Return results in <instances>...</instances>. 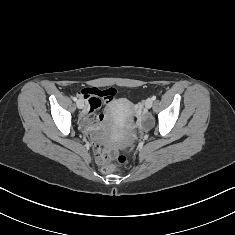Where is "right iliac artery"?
<instances>
[{"instance_id": "obj_1", "label": "right iliac artery", "mask_w": 235, "mask_h": 235, "mask_svg": "<svg viewBox=\"0 0 235 235\" xmlns=\"http://www.w3.org/2000/svg\"><path fill=\"white\" fill-rule=\"evenodd\" d=\"M73 100H74V101H77V97H73Z\"/></svg>"}]
</instances>
